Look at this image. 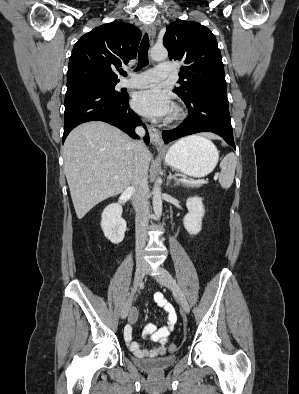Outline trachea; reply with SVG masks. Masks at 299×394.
I'll return each instance as SVG.
<instances>
[{"mask_svg": "<svg viewBox=\"0 0 299 394\" xmlns=\"http://www.w3.org/2000/svg\"><path fill=\"white\" fill-rule=\"evenodd\" d=\"M148 50H149V38L148 35L145 34L138 51V65L136 71L148 65ZM120 74L123 76L127 75L125 71H122Z\"/></svg>", "mask_w": 299, "mask_h": 394, "instance_id": "1", "label": "trachea"}]
</instances>
